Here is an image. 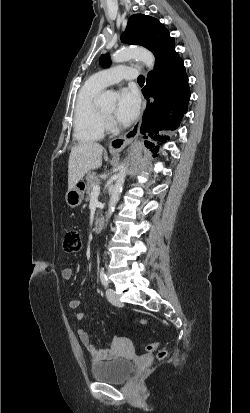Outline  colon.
<instances>
[{
	"mask_svg": "<svg viewBox=\"0 0 250 413\" xmlns=\"http://www.w3.org/2000/svg\"><path fill=\"white\" fill-rule=\"evenodd\" d=\"M81 248V235L78 231H68L64 237V249L69 253H74L79 251ZM140 324H146V319H139ZM159 343H151L145 346V350L149 353L158 350V358L163 359L167 356V351L165 349H158Z\"/></svg>",
	"mask_w": 250,
	"mask_h": 413,
	"instance_id": "colon-1",
	"label": "colon"
}]
</instances>
